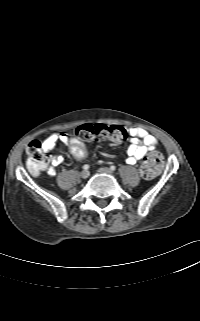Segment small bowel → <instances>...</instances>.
I'll use <instances>...</instances> for the list:
<instances>
[{"mask_svg": "<svg viewBox=\"0 0 200 321\" xmlns=\"http://www.w3.org/2000/svg\"><path fill=\"white\" fill-rule=\"evenodd\" d=\"M130 144L127 147V159L126 162L130 165H134L141 160L148 151L153 150L158 141L154 135L141 127H131L129 129ZM70 137L65 132L53 133L49 135L43 142L42 146L46 152L51 151L58 142L65 144V140ZM64 161L63 156L53 155L50 157V165L46 168V172L49 176L56 175V167L61 165Z\"/></svg>", "mask_w": 200, "mask_h": 321, "instance_id": "1", "label": "small bowel"}]
</instances>
